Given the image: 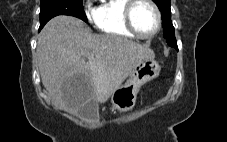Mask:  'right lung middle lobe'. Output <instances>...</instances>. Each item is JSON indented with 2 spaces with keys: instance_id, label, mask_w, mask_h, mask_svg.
Listing matches in <instances>:
<instances>
[{
  "instance_id": "dd1d6c3e",
  "label": "right lung middle lobe",
  "mask_w": 227,
  "mask_h": 142,
  "mask_svg": "<svg viewBox=\"0 0 227 142\" xmlns=\"http://www.w3.org/2000/svg\"><path fill=\"white\" fill-rule=\"evenodd\" d=\"M40 29L53 17L68 15L88 22L82 0H40Z\"/></svg>"
}]
</instances>
